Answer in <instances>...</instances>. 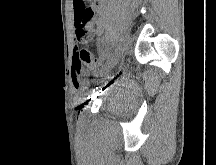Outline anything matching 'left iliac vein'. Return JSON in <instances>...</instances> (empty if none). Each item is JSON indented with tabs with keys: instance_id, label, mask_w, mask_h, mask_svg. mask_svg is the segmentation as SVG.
I'll return each mask as SVG.
<instances>
[{
	"instance_id": "4c4485c4",
	"label": "left iliac vein",
	"mask_w": 216,
	"mask_h": 165,
	"mask_svg": "<svg viewBox=\"0 0 216 165\" xmlns=\"http://www.w3.org/2000/svg\"><path fill=\"white\" fill-rule=\"evenodd\" d=\"M124 52V45H119L114 52L109 55L106 61V69L111 70L120 60L122 54Z\"/></svg>"
}]
</instances>
